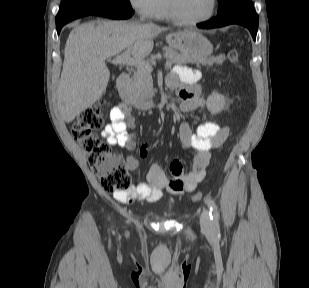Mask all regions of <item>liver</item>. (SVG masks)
<instances>
[{"instance_id": "obj_1", "label": "liver", "mask_w": 309, "mask_h": 288, "mask_svg": "<svg viewBox=\"0 0 309 288\" xmlns=\"http://www.w3.org/2000/svg\"><path fill=\"white\" fill-rule=\"evenodd\" d=\"M167 28L154 24L95 21L77 24L70 32L57 90L59 112L72 122L97 102L106 90L110 71L105 61L126 48L143 59L154 46L153 38Z\"/></svg>"}]
</instances>
